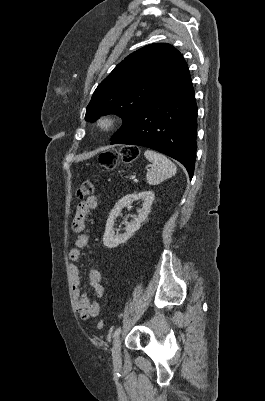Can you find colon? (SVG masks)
<instances>
[{
  "label": "colon",
  "mask_w": 265,
  "mask_h": 401,
  "mask_svg": "<svg viewBox=\"0 0 265 401\" xmlns=\"http://www.w3.org/2000/svg\"><path fill=\"white\" fill-rule=\"evenodd\" d=\"M139 154V150L133 146H124L119 150H107L99 155V163L105 169H114L119 160L124 162L134 161ZM95 184L91 180L83 181L78 189L77 196L81 199H87L94 193ZM99 329L104 327V321L99 320L97 324Z\"/></svg>",
  "instance_id": "5ec220e1"
}]
</instances>
